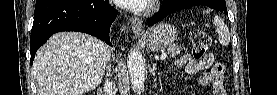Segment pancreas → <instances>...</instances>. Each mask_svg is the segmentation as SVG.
I'll list each match as a JSON object with an SVG mask.
<instances>
[{
	"mask_svg": "<svg viewBox=\"0 0 277 95\" xmlns=\"http://www.w3.org/2000/svg\"><path fill=\"white\" fill-rule=\"evenodd\" d=\"M182 48L176 44H172L168 47L167 54L170 57H175L177 54L181 52Z\"/></svg>",
	"mask_w": 277,
	"mask_h": 95,
	"instance_id": "1",
	"label": "pancreas"
}]
</instances>
